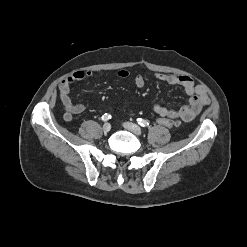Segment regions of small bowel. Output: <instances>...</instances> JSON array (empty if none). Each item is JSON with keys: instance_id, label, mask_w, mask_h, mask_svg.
Wrapping results in <instances>:
<instances>
[{"instance_id": "c3829d8e", "label": "small bowel", "mask_w": 247, "mask_h": 247, "mask_svg": "<svg viewBox=\"0 0 247 247\" xmlns=\"http://www.w3.org/2000/svg\"><path fill=\"white\" fill-rule=\"evenodd\" d=\"M116 75L119 78H126L130 75V73L128 70L122 69L119 70ZM92 76L93 74L90 71L77 70L59 83V97L64 108V119L66 121H71L74 115L83 113L87 109L85 104H75L72 102L70 98L71 85L77 81H82ZM154 77L164 83L182 87L186 94L190 97L188 104L179 109H171L155 103L153 105V110L160 117H167L177 121L188 122L198 115L203 107L208 105L210 102L206 89L201 85H196L194 80L186 75L155 73ZM145 82V77L141 74L137 75L134 79V84L137 88H143L145 86Z\"/></svg>"}]
</instances>
